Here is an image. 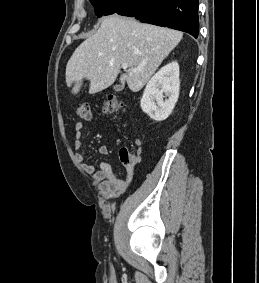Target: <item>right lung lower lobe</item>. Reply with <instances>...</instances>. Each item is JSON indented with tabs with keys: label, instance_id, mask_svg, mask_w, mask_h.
Segmentation results:
<instances>
[{
	"label": "right lung lower lobe",
	"instance_id": "98d812e1",
	"mask_svg": "<svg viewBox=\"0 0 259 283\" xmlns=\"http://www.w3.org/2000/svg\"><path fill=\"white\" fill-rule=\"evenodd\" d=\"M107 11L198 37V0H105Z\"/></svg>",
	"mask_w": 259,
	"mask_h": 283
}]
</instances>
